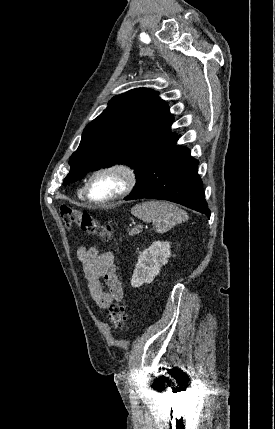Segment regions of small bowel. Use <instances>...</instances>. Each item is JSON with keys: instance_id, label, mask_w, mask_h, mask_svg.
Segmentation results:
<instances>
[{"instance_id": "1", "label": "small bowel", "mask_w": 275, "mask_h": 429, "mask_svg": "<svg viewBox=\"0 0 275 429\" xmlns=\"http://www.w3.org/2000/svg\"><path fill=\"white\" fill-rule=\"evenodd\" d=\"M78 258L82 262L91 298L100 309H107L115 301L122 300L123 288L111 252L100 253L97 247H81ZM102 280L107 288H104Z\"/></svg>"}]
</instances>
